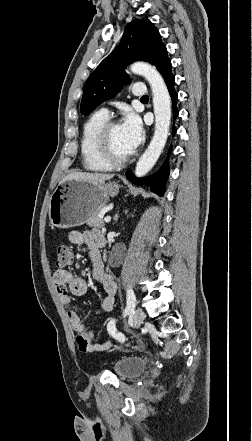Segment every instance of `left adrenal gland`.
<instances>
[{
  "label": "left adrenal gland",
  "instance_id": "a2214340",
  "mask_svg": "<svg viewBox=\"0 0 252 441\" xmlns=\"http://www.w3.org/2000/svg\"><path fill=\"white\" fill-rule=\"evenodd\" d=\"M114 220H115V222L118 221V214L115 215Z\"/></svg>",
  "mask_w": 252,
  "mask_h": 441
}]
</instances>
